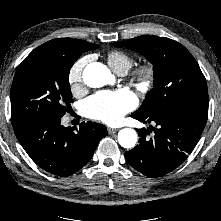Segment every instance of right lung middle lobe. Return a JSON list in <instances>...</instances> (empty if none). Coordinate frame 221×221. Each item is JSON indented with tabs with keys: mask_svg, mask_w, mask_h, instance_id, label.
I'll use <instances>...</instances> for the list:
<instances>
[{
	"mask_svg": "<svg viewBox=\"0 0 221 221\" xmlns=\"http://www.w3.org/2000/svg\"><path fill=\"white\" fill-rule=\"evenodd\" d=\"M86 51L66 44H42L27 56L18 66L11 88L13 127L36 120L61 119L73 102L70 69Z\"/></svg>",
	"mask_w": 221,
	"mask_h": 221,
	"instance_id": "obj_1",
	"label": "right lung middle lobe"
}]
</instances>
